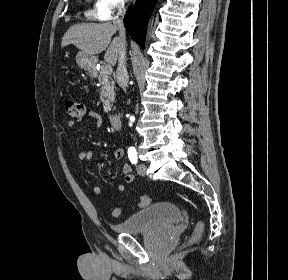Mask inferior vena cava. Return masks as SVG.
<instances>
[{
  "instance_id": "602c4592",
  "label": "inferior vena cava",
  "mask_w": 288,
  "mask_h": 280,
  "mask_svg": "<svg viewBox=\"0 0 288 280\" xmlns=\"http://www.w3.org/2000/svg\"><path fill=\"white\" fill-rule=\"evenodd\" d=\"M118 12L114 18L113 24L119 30V38L122 42L118 55V67L116 71L117 83L121 87H125L128 83V73L126 69V36L123 24V17L125 14L124 4L120 3L117 6Z\"/></svg>"
}]
</instances>
